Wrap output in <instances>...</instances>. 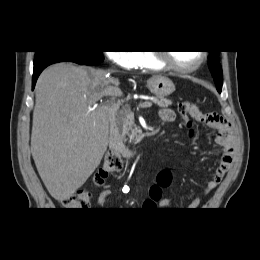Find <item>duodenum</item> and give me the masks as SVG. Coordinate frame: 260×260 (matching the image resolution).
I'll use <instances>...</instances> for the list:
<instances>
[{"mask_svg": "<svg viewBox=\"0 0 260 260\" xmlns=\"http://www.w3.org/2000/svg\"><path fill=\"white\" fill-rule=\"evenodd\" d=\"M109 121V143L111 151L125 159L134 158L138 154V150L130 149L122 143L118 135L117 127L115 124V116L112 111L109 115Z\"/></svg>", "mask_w": 260, "mask_h": 260, "instance_id": "1", "label": "duodenum"}]
</instances>
